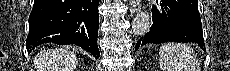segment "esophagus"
Here are the masks:
<instances>
[{"label": "esophagus", "instance_id": "34e87169", "mask_svg": "<svg viewBox=\"0 0 230 71\" xmlns=\"http://www.w3.org/2000/svg\"><path fill=\"white\" fill-rule=\"evenodd\" d=\"M141 6V1L140 0H130L129 1V8H130V13L134 14L140 9Z\"/></svg>", "mask_w": 230, "mask_h": 71}]
</instances>
